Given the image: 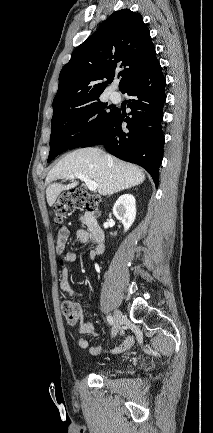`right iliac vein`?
I'll return each instance as SVG.
<instances>
[{"label": "right iliac vein", "mask_w": 213, "mask_h": 433, "mask_svg": "<svg viewBox=\"0 0 213 433\" xmlns=\"http://www.w3.org/2000/svg\"><path fill=\"white\" fill-rule=\"evenodd\" d=\"M123 322V314L120 310L114 311V325H113V334L116 335L122 325Z\"/></svg>", "instance_id": "right-iliac-vein-1"}]
</instances>
